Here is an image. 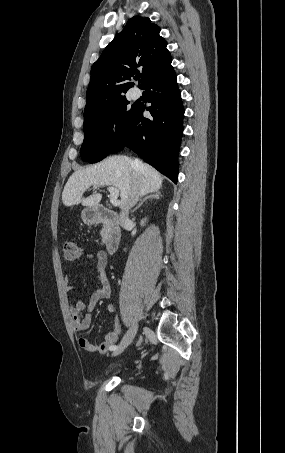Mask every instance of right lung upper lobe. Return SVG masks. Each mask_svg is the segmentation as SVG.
I'll use <instances>...</instances> for the list:
<instances>
[{
    "label": "right lung upper lobe",
    "instance_id": "1",
    "mask_svg": "<svg viewBox=\"0 0 285 453\" xmlns=\"http://www.w3.org/2000/svg\"><path fill=\"white\" fill-rule=\"evenodd\" d=\"M160 27L149 18L134 16L108 44L91 67L84 114L124 97L133 86L129 82L142 68L140 86L171 67L167 42L159 35Z\"/></svg>",
    "mask_w": 285,
    "mask_h": 453
}]
</instances>
